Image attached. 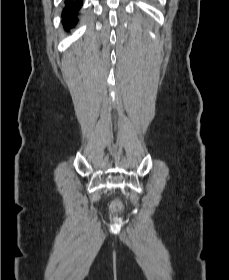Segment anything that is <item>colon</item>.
I'll return each mask as SVG.
<instances>
[{"mask_svg": "<svg viewBox=\"0 0 229 280\" xmlns=\"http://www.w3.org/2000/svg\"><path fill=\"white\" fill-rule=\"evenodd\" d=\"M111 207L116 213H124L125 212L124 203L119 201V200H114L111 203Z\"/></svg>", "mask_w": 229, "mask_h": 280, "instance_id": "1", "label": "colon"}]
</instances>
